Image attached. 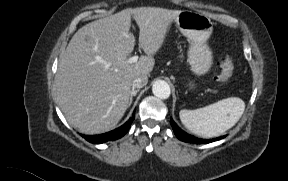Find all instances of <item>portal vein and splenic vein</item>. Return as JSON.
Returning <instances> with one entry per match:
<instances>
[{"label": "portal vein and splenic vein", "mask_w": 288, "mask_h": 181, "mask_svg": "<svg viewBox=\"0 0 288 181\" xmlns=\"http://www.w3.org/2000/svg\"><path fill=\"white\" fill-rule=\"evenodd\" d=\"M137 61H138V56L135 55V56H133V57L128 58L127 63H128V64H133V63H135V62H137Z\"/></svg>", "instance_id": "18ae733b"}]
</instances>
